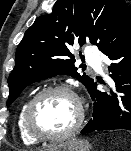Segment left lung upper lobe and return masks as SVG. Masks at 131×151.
<instances>
[{
    "mask_svg": "<svg viewBox=\"0 0 131 151\" xmlns=\"http://www.w3.org/2000/svg\"><path fill=\"white\" fill-rule=\"evenodd\" d=\"M130 36L131 13L124 0H57L52 13L38 17L17 47L7 106L26 86L57 74L71 75L89 89L94 80L77 72L72 45L90 42L105 54Z\"/></svg>",
    "mask_w": 131,
    "mask_h": 151,
    "instance_id": "5c2ea615",
    "label": "left lung upper lobe"
}]
</instances>
